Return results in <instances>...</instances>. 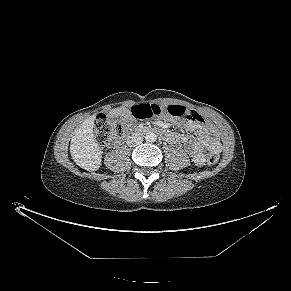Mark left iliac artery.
Masks as SVG:
<instances>
[{"label": "left iliac artery", "instance_id": "left-iliac-artery-1", "mask_svg": "<svg viewBox=\"0 0 291 291\" xmlns=\"http://www.w3.org/2000/svg\"><path fill=\"white\" fill-rule=\"evenodd\" d=\"M149 138L152 140V142H157L158 141V139H157V137L155 135H151V137H149Z\"/></svg>", "mask_w": 291, "mask_h": 291}]
</instances>
